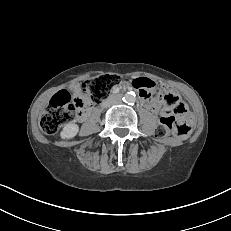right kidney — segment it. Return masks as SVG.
<instances>
[{
    "mask_svg": "<svg viewBox=\"0 0 231 231\" xmlns=\"http://www.w3.org/2000/svg\"><path fill=\"white\" fill-rule=\"evenodd\" d=\"M78 131L79 126L77 124L68 123L64 126L60 135L63 139H71L77 135Z\"/></svg>",
    "mask_w": 231,
    "mask_h": 231,
    "instance_id": "right-kidney-1",
    "label": "right kidney"
}]
</instances>
